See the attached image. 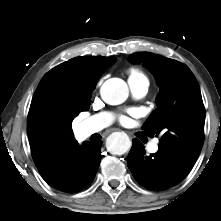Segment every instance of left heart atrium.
<instances>
[{"label":"left heart atrium","instance_id":"left-heart-atrium-1","mask_svg":"<svg viewBox=\"0 0 221 221\" xmlns=\"http://www.w3.org/2000/svg\"><path fill=\"white\" fill-rule=\"evenodd\" d=\"M121 121H122V122H125V121H126V118H125V117H121Z\"/></svg>","mask_w":221,"mask_h":221}]
</instances>
